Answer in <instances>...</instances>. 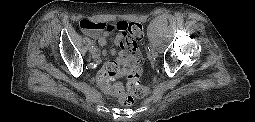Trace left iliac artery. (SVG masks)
I'll return each mask as SVG.
<instances>
[{"label": "left iliac artery", "instance_id": "obj_1", "mask_svg": "<svg viewBox=\"0 0 255 122\" xmlns=\"http://www.w3.org/2000/svg\"><path fill=\"white\" fill-rule=\"evenodd\" d=\"M148 50H149V51H154V50H155V47H154L153 45L150 44V45L148 46Z\"/></svg>", "mask_w": 255, "mask_h": 122}]
</instances>
